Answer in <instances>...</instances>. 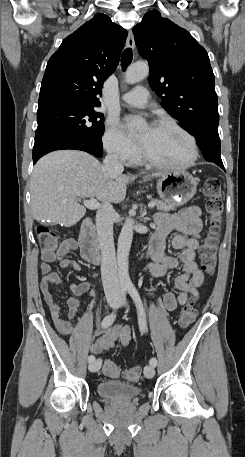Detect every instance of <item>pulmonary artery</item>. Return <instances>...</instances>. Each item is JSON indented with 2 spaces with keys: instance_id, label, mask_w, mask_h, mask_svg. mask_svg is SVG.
Returning a JSON list of instances; mask_svg holds the SVG:
<instances>
[{
  "instance_id": "1",
  "label": "pulmonary artery",
  "mask_w": 245,
  "mask_h": 457,
  "mask_svg": "<svg viewBox=\"0 0 245 457\" xmlns=\"http://www.w3.org/2000/svg\"><path fill=\"white\" fill-rule=\"evenodd\" d=\"M149 100L148 86H135L134 91L125 93L121 96V101L133 106H145Z\"/></svg>"
}]
</instances>
